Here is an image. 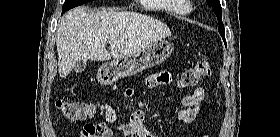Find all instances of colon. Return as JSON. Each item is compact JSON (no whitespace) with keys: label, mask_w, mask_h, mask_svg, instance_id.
<instances>
[{"label":"colon","mask_w":280,"mask_h":137,"mask_svg":"<svg viewBox=\"0 0 280 137\" xmlns=\"http://www.w3.org/2000/svg\"><path fill=\"white\" fill-rule=\"evenodd\" d=\"M211 73L208 63L199 62L186 69L180 78L179 85L184 88L196 87L200 80L207 78ZM56 106L62 115L70 120L84 121L96 114V106L90 102H76L59 99Z\"/></svg>","instance_id":"obj_1"}]
</instances>
